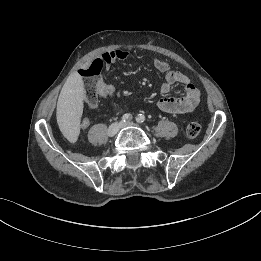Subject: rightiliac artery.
I'll use <instances>...</instances> for the list:
<instances>
[{
    "label": "right iliac artery",
    "mask_w": 261,
    "mask_h": 261,
    "mask_svg": "<svg viewBox=\"0 0 261 261\" xmlns=\"http://www.w3.org/2000/svg\"><path fill=\"white\" fill-rule=\"evenodd\" d=\"M131 119H132V115L129 114V113L124 114L123 117H122V121H123V122H128V121H130Z\"/></svg>",
    "instance_id": "obj_1"
}]
</instances>
